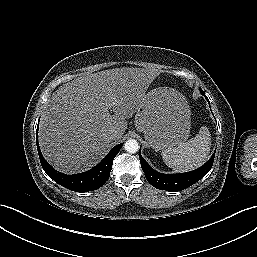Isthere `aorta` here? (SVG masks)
<instances>
[{
	"instance_id": "obj_1",
	"label": "aorta",
	"mask_w": 257,
	"mask_h": 257,
	"mask_svg": "<svg viewBox=\"0 0 257 257\" xmlns=\"http://www.w3.org/2000/svg\"><path fill=\"white\" fill-rule=\"evenodd\" d=\"M124 148L129 153H135L138 151L139 145L135 139H130L125 142Z\"/></svg>"
}]
</instances>
